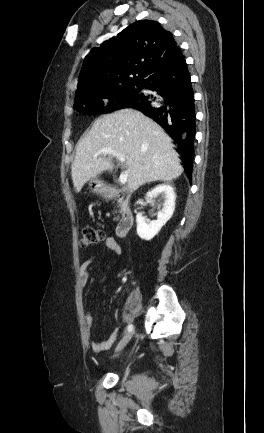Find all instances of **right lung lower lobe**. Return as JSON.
<instances>
[{
  "instance_id": "98d812e1",
  "label": "right lung lower lobe",
  "mask_w": 264,
  "mask_h": 433,
  "mask_svg": "<svg viewBox=\"0 0 264 433\" xmlns=\"http://www.w3.org/2000/svg\"><path fill=\"white\" fill-rule=\"evenodd\" d=\"M154 94L139 93L122 108L143 112L160 124L177 144L186 174L192 180L196 114L194 92L181 51L155 67L140 83Z\"/></svg>"
}]
</instances>
